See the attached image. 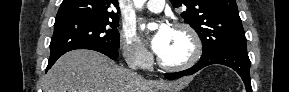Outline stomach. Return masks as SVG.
I'll use <instances>...</instances> for the list:
<instances>
[{
	"label": "stomach",
	"instance_id": "obj_1",
	"mask_svg": "<svg viewBox=\"0 0 289 92\" xmlns=\"http://www.w3.org/2000/svg\"><path fill=\"white\" fill-rule=\"evenodd\" d=\"M167 92H176V91H167Z\"/></svg>",
	"mask_w": 289,
	"mask_h": 92
}]
</instances>
